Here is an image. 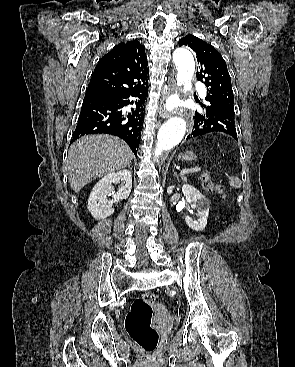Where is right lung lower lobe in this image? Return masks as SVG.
<instances>
[{
  "label": "right lung lower lobe",
  "mask_w": 295,
  "mask_h": 367,
  "mask_svg": "<svg viewBox=\"0 0 295 367\" xmlns=\"http://www.w3.org/2000/svg\"><path fill=\"white\" fill-rule=\"evenodd\" d=\"M148 87L122 93L86 94L83 100L73 141L88 134H112L123 139L134 154L139 147L144 122ZM135 97L138 100H130ZM136 104L132 112L123 111L128 104Z\"/></svg>",
  "instance_id": "1"
}]
</instances>
